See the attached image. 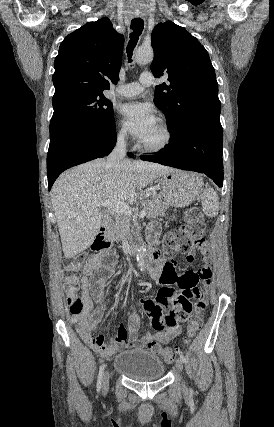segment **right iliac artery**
<instances>
[{
  "label": "right iliac artery",
  "instance_id": "82829eb1",
  "mask_svg": "<svg viewBox=\"0 0 274 427\" xmlns=\"http://www.w3.org/2000/svg\"><path fill=\"white\" fill-rule=\"evenodd\" d=\"M106 365L102 364L100 366V370H99V374H98V378H97V391L100 392L101 389V384H102V380H103V376H104V369H105Z\"/></svg>",
  "mask_w": 274,
  "mask_h": 427
}]
</instances>
